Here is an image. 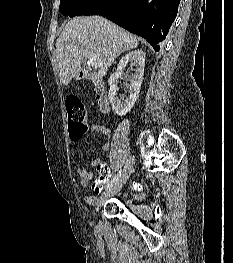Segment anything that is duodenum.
Returning <instances> with one entry per match:
<instances>
[{"label":"duodenum","mask_w":233,"mask_h":263,"mask_svg":"<svg viewBox=\"0 0 233 263\" xmlns=\"http://www.w3.org/2000/svg\"><path fill=\"white\" fill-rule=\"evenodd\" d=\"M82 76V74H81ZM95 98L98 105V108L101 112L106 113L109 111V101L106 88L102 81L95 82Z\"/></svg>","instance_id":"1"}]
</instances>
